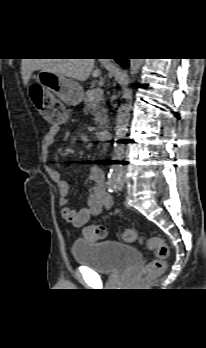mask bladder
<instances>
[{
  "label": "bladder",
  "instance_id": "bladder-1",
  "mask_svg": "<svg viewBox=\"0 0 206 348\" xmlns=\"http://www.w3.org/2000/svg\"><path fill=\"white\" fill-rule=\"evenodd\" d=\"M75 262L101 274H119L141 260L139 250L115 241L77 240L72 245Z\"/></svg>",
  "mask_w": 206,
  "mask_h": 348
}]
</instances>
